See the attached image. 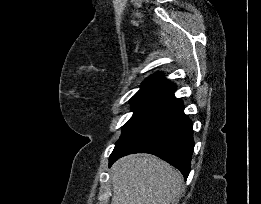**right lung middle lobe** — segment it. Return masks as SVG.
<instances>
[{
    "mask_svg": "<svg viewBox=\"0 0 261 204\" xmlns=\"http://www.w3.org/2000/svg\"><path fill=\"white\" fill-rule=\"evenodd\" d=\"M169 96L162 94H136L130 102L132 104V111L134 112L130 120L123 126V132L120 136V142L133 129H135L144 119H146L158 106H160ZM116 143V144H117Z\"/></svg>",
    "mask_w": 261,
    "mask_h": 204,
    "instance_id": "right-lung-middle-lobe-1",
    "label": "right lung middle lobe"
}]
</instances>
